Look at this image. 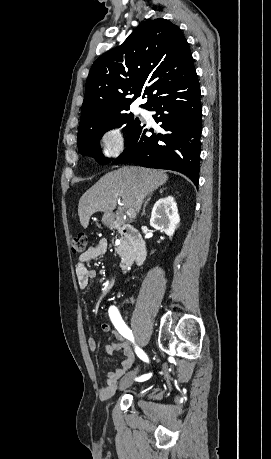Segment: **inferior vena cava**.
<instances>
[{"instance_id":"obj_1","label":"inferior vena cava","mask_w":271,"mask_h":459,"mask_svg":"<svg viewBox=\"0 0 271 459\" xmlns=\"http://www.w3.org/2000/svg\"><path fill=\"white\" fill-rule=\"evenodd\" d=\"M141 204H142V200H137V202H136V212H139Z\"/></svg>"}]
</instances>
